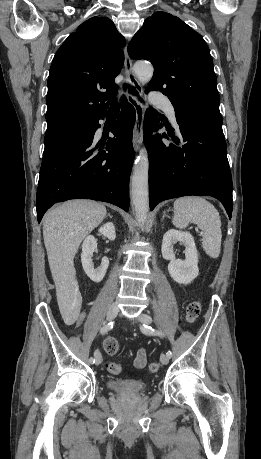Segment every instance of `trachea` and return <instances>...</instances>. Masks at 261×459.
Masks as SVG:
<instances>
[{
  "label": "trachea",
  "mask_w": 261,
  "mask_h": 459,
  "mask_svg": "<svg viewBox=\"0 0 261 459\" xmlns=\"http://www.w3.org/2000/svg\"><path fill=\"white\" fill-rule=\"evenodd\" d=\"M124 88L126 89L127 88V84H124ZM128 91L131 93V94H134V95H137V91L130 85H128ZM111 111H116V110H119V105H112L111 106Z\"/></svg>",
  "instance_id": "3493384b"
}]
</instances>
